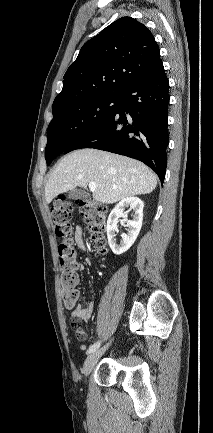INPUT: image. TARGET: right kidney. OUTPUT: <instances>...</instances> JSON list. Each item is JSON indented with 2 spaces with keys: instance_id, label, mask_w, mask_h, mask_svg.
I'll list each match as a JSON object with an SVG mask.
<instances>
[{
  "instance_id": "1",
  "label": "right kidney",
  "mask_w": 213,
  "mask_h": 433,
  "mask_svg": "<svg viewBox=\"0 0 213 433\" xmlns=\"http://www.w3.org/2000/svg\"><path fill=\"white\" fill-rule=\"evenodd\" d=\"M125 207H130L135 214L132 220H127L126 227H128V232L121 235L122 240L117 244L115 238L118 232L117 222L120 217L127 219L128 212H124ZM143 207L144 204L138 197H127L121 200L109 214L106 230L108 244L114 254H123L135 242L142 226Z\"/></svg>"
}]
</instances>
